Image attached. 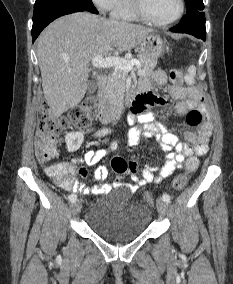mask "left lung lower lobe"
<instances>
[{
	"instance_id": "left-lung-lower-lobe-1",
	"label": "left lung lower lobe",
	"mask_w": 233,
	"mask_h": 284,
	"mask_svg": "<svg viewBox=\"0 0 233 284\" xmlns=\"http://www.w3.org/2000/svg\"><path fill=\"white\" fill-rule=\"evenodd\" d=\"M176 33H187L205 41L206 28H205V15L199 11L198 15L193 16L187 20H183L178 25L170 29Z\"/></svg>"
}]
</instances>
